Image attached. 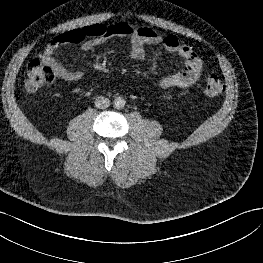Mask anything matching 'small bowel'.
I'll return each mask as SVG.
<instances>
[{"label":"small bowel","mask_w":263,"mask_h":263,"mask_svg":"<svg viewBox=\"0 0 263 263\" xmlns=\"http://www.w3.org/2000/svg\"><path fill=\"white\" fill-rule=\"evenodd\" d=\"M114 37L129 41L130 56L134 60H142L145 57V45L148 44H160L168 52L175 53L183 59L184 67L180 71L160 80L159 86L164 91L187 88L201 77L202 59L190 45L181 43L173 35L161 36L149 27H138L126 21L111 25L95 24L56 34L48 39L40 59L58 78L78 81L82 78V72L65 67L55 58V50L61 45L80 44L82 50L88 51Z\"/></svg>","instance_id":"obj_1"}]
</instances>
